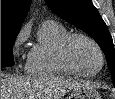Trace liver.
I'll return each mask as SVG.
<instances>
[{
	"label": "liver",
	"mask_w": 115,
	"mask_h": 99,
	"mask_svg": "<svg viewBox=\"0 0 115 99\" xmlns=\"http://www.w3.org/2000/svg\"><path fill=\"white\" fill-rule=\"evenodd\" d=\"M82 86L62 76L13 77L1 74V99H61Z\"/></svg>",
	"instance_id": "liver-1"
}]
</instances>
